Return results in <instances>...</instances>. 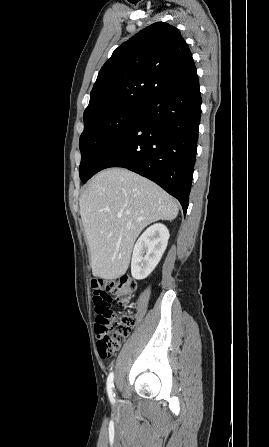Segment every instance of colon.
Returning a JSON list of instances; mask_svg holds the SVG:
<instances>
[{"label":"colon","instance_id":"colon-1","mask_svg":"<svg viewBox=\"0 0 269 447\" xmlns=\"http://www.w3.org/2000/svg\"><path fill=\"white\" fill-rule=\"evenodd\" d=\"M135 289V279L126 274L113 280L93 278L90 282L91 299L97 312L94 322L97 350L102 358L111 356L135 327V317L126 311L131 307ZM104 290L110 295L105 296ZM113 301L120 309L117 313L113 311Z\"/></svg>","mask_w":269,"mask_h":447}]
</instances>
